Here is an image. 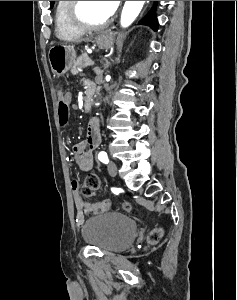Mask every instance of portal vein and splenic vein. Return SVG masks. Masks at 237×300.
Listing matches in <instances>:
<instances>
[{"mask_svg":"<svg viewBox=\"0 0 237 300\" xmlns=\"http://www.w3.org/2000/svg\"><path fill=\"white\" fill-rule=\"evenodd\" d=\"M85 64H86V66H88V65H93V62H92V61H89V62L87 61ZM86 68H87V67H86Z\"/></svg>","mask_w":237,"mask_h":300,"instance_id":"obj_1","label":"portal vein and splenic vein"}]
</instances>
